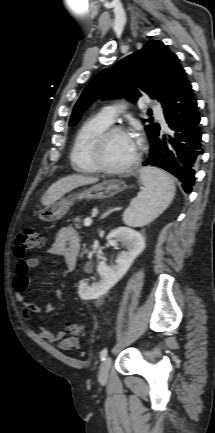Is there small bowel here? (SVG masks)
<instances>
[{"instance_id":"1","label":"small bowel","mask_w":215,"mask_h":433,"mask_svg":"<svg viewBox=\"0 0 215 433\" xmlns=\"http://www.w3.org/2000/svg\"><path fill=\"white\" fill-rule=\"evenodd\" d=\"M80 251L81 238L79 233L74 228L66 226L58 230L53 244L48 249V254L63 259V273L67 274L75 267ZM39 264V258L33 256L20 259L16 266L13 288L18 301L22 305L23 315L27 320L31 319L32 313H38L40 311L39 307L33 301L24 297L25 291L31 284L29 271L38 267ZM56 296L60 298L61 293L57 292ZM35 328L41 338L50 343H57L61 350L68 351L80 347L79 339L76 337H66V333L63 330L53 332L39 325Z\"/></svg>"}]
</instances>
